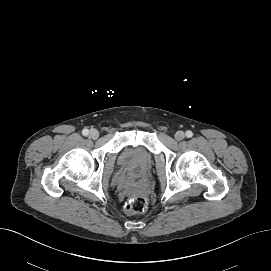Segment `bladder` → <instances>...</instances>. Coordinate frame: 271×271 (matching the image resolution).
<instances>
[{"label": "bladder", "instance_id": "31cf9c89", "mask_svg": "<svg viewBox=\"0 0 271 271\" xmlns=\"http://www.w3.org/2000/svg\"><path fill=\"white\" fill-rule=\"evenodd\" d=\"M118 163L125 168L128 173L135 177L146 175L153 165V155L144 146L128 145L121 149L118 156Z\"/></svg>", "mask_w": 271, "mask_h": 271}]
</instances>
